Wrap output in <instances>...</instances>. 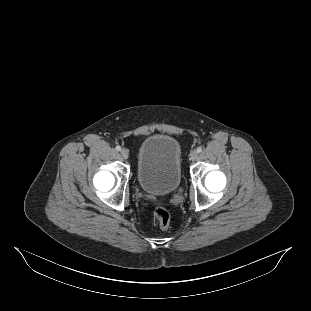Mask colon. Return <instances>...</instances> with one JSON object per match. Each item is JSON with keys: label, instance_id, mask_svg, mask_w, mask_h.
<instances>
[{"label": "colon", "instance_id": "5ec220e1", "mask_svg": "<svg viewBox=\"0 0 311 311\" xmlns=\"http://www.w3.org/2000/svg\"><path fill=\"white\" fill-rule=\"evenodd\" d=\"M154 220L161 229H166L170 223V213L161 206H156L152 210Z\"/></svg>", "mask_w": 311, "mask_h": 311}]
</instances>
